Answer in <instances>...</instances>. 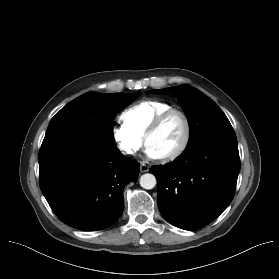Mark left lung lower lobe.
Returning a JSON list of instances; mask_svg holds the SVG:
<instances>
[{
    "instance_id": "0a47b994",
    "label": "left lung lower lobe",
    "mask_w": 279,
    "mask_h": 279,
    "mask_svg": "<svg viewBox=\"0 0 279 279\" xmlns=\"http://www.w3.org/2000/svg\"><path fill=\"white\" fill-rule=\"evenodd\" d=\"M151 171L157 178V201L165 220L184 230L202 228L234 197L240 171L236 136L202 139L173 163L152 166Z\"/></svg>"
}]
</instances>
